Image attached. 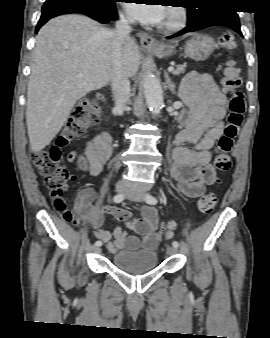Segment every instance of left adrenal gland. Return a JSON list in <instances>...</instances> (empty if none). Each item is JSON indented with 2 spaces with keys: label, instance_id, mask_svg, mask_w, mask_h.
Returning <instances> with one entry per match:
<instances>
[{
  "label": "left adrenal gland",
  "instance_id": "1",
  "mask_svg": "<svg viewBox=\"0 0 270 338\" xmlns=\"http://www.w3.org/2000/svg\"><path fill=\"white\" fill-rule=\"evenodd\" d=\"M166 87L171 91L172 94H176V84L171 80L167 72L164 73Z\"/></svg>",
  "mask_w": 270,
  "mask_h": 338
}]
</instances>
